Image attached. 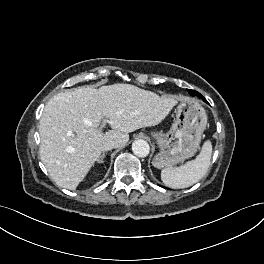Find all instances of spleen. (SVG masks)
I'll list each match as a JSON object with an SVG mask.
<instances>
[{"label": "spleen", "mask_w": 264, "mask_h": 264, "mask_svg": "<svg viewBox=\"0 0 264 264\" xmlns=\"http://www.w3.org/2000/svg\"><path fill=\"white\" fill-rule=\"evenodd\" d=\"M212 144L206 141L199 155L186 164L161 171L163 183L172 188H186L197 183L207 173L211 164Z\"/></svg>", "instance_id": "spleen-1"}]
</instances>
